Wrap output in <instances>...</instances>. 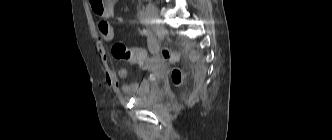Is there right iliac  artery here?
<instances>
[{
  "instance_id": "obj_1",
  "label": "right iliac artery",
  "mask_w": 332,
  "mask_h": 140,
  "mask_svg": "<svg viewBox=\"0 0 332 140\" xmlns=\"http://www.w3.org/2000/svg\"><path fill=\"white\" fill-rule=\"evenodd\" d=\"M139 19H140V22L143 23V24H148L149 23V18L147 16V13L144 10H141L139 12Z\"/></svg>"
}]
</instances>
